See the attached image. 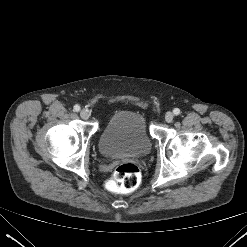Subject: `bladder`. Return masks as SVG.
Listing matches in <instances>:
<instances>
[{
  "instance_id": "bladder-1",
  "label": "bladder",
  "mask_w": 247,
  "mask_h": 247,
  "mask_svg": "<svg viewBox=\"0 0 247 247\" xmlns=\"http://www.w3.org/2000/svg\"><path fill=\"white\" fill-rule=\"evenodd\" d=\"M98 148L107 158L147 155L152 141L144 115L131 110L116 112L103 128Z\"/></svg>"
}]
</instances>
